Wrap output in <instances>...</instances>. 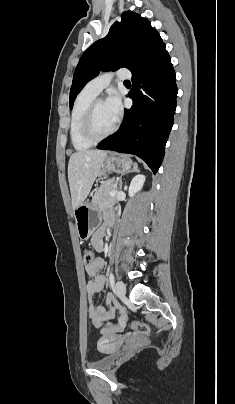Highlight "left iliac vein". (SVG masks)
<instances>
[{
  "label": "left iliac vein",
  "instance_id": "4c4485c4",
  "mask_svg": "<svg viewBox=\"0 0 235 404\" xmlns=\"http://www.w3.org/2000/svg\"><path fill=\"white\" fill-rule=\"evenodd\" d=\"M115 292L116 295L121 299L125 297L126 294V287L122 281H117L115 284Z\"/></svg>",
  "mask_w": 235,
  "mask_h": 404
}]
</instances>
